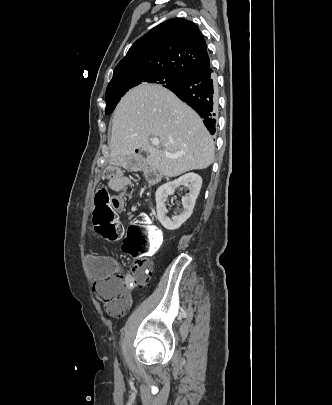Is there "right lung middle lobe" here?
I'll use <instances>...</instances> for the list:
<instances>
[{
	"label": "right lung middle lobe",
	"instance_id": "obj_1",
	"mask_svg": "<svg viewBox=\"0 0 332 405\" xmlns=\"http://www.w3.org/2000/svg\"><path fill=\"white\" fill-rule=\"evenodd\" d=\"M184 77L169 73L132 72L118 76L110 81L106 90V114L115 109L121 97L132 87L139 84L155 83L168 88L180 82Z\"/></svg>",
	"mask_w": 332,
	"mask_h": 405
}]
</instances>
